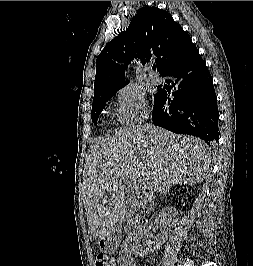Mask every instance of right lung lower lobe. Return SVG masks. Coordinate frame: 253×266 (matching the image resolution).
I'll return each instance as SVG.
<instances>
[{
    "label": "right lung lower lobe",
    "mask_w": 253,
    "mask_h": 266,
    "mask_svg": "<svg viewBox=\"0 0 253 266\" xmlns=\"http://www.w3.org/2000/svg\"><path fill=\"white\" fill-rule=\"evenodd\" d=\"M176 89L170 95L159 89L154 101L153 123L169 131L189 134L209 146L219 139L217 97L212 77L197 48L163 74Z\"/></svg>",
    "instance_id": "98d812e1"
}]
</instances>
